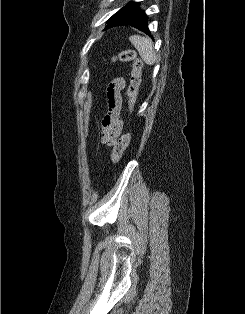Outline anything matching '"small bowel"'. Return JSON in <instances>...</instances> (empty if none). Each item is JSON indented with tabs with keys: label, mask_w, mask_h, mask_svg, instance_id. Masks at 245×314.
Masks as SVG:
<instances>
[{
	"label": "small bowel",
	"mask_w": 245,
	"mask_h": 314,
	"mask_svg": "<svg viewBox=\"0 0 245 314\" xmlns=\"http://www.w3.org/2000/svg\"><path fill=\"white\" fill-rule=\"evenodd\" d=\"M124 86V79L118 77L109 83L106 91L108 112L102 119L100 137L102 143L110 146L115 144L117 138L121 134L123 127L121 116V90L124 88Z\"/></svg>",
	"instance_id": "c3829d8e"
}]
</instances>
